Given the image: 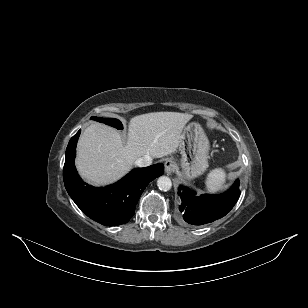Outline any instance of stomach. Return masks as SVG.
<instances>
[{"label":"stomach","instance_id":"1","mask_svg":"<svg viewBox=\"0 0 308 308\" xmlns=\"http://www.w3.org/2000/svg\"><path fill=\"white\" fill-rule=\"evenodd\" d=\"M209 149L208 138L198 123L184 127L179 145L183 178L191 180L205 172L209 165Z\"/></svg>","mask_w":308,"mask_h":308}]
</instances>
